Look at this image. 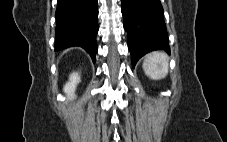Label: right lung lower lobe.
I'll list each match as a JSON object with an SVG mask.
<instances>
[{"label": "right lung lower lobe", "instance_id": "right-lung-lower-lobe-1", "mask_svg": "<svg viewBox=\"0 0 227 142\" xmlns=\"http://www.w3.org/2000/svg\"><path fill=\"white\" fill-rule=\"evenodd\" d=\"M97 19V0H58L55 50L80 46L95 62Z\"/></svg>", "mask_w": 227, "mask_h": 142}]
</instances>
